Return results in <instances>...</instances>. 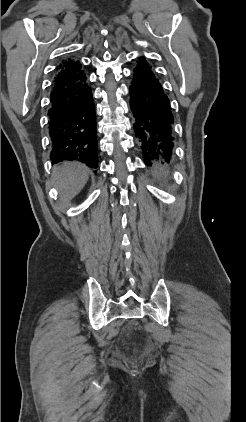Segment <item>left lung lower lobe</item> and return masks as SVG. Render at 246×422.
Returning a JSON list of instances; mask_svg holds the SVG:
<instances>
[{
  "mask_svg": "<svg viewBox=\"0 0 246 422\" xmlns=\"http://www.w3.org/2000/svg\"><path fill=\"white\" fill-rule=\"evenodd\" d=\"M130 86V106L136 137L144 162L165 158L169 162L174 146L170 101L145 57H139Z\"/></svg>",
  "mask_w": 246,
  "mask_h": 422,
  "instance_id": "left-lung-lower-lobe-1",
  "label": "left lung lower lobe"
}]
</instances>
